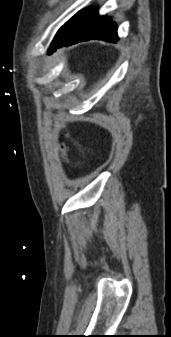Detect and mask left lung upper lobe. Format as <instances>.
I'll return each instance as SVG.
<instances>
[{
    "instance_id": "left-lung-upper-lobe-1",
    "label": "left lung upper lobe",
    "mask_w": 171,
    "mask_h": 337,
    "mask_svg": "<svg viewBox=\"0 0 171 337\" xmlns=\"http://www.w3.org/2000/svg\"><path fill=\"white\" fill-rule=\"evenodd\" d=\"M82 13H83V10L75 14L69 21H67L59 29V31L57 32L55 36V40L52 43L51 49L49 50V53H52L55 50L56 45L72 32L77 22L79 21Z\"/></svg>"
}]
</instances>
